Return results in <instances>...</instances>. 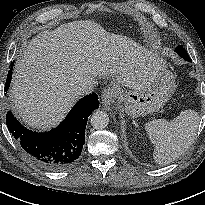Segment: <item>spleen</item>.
<instances>
[{
  "label": "spleen",
  "mask_w": 205,
  "mask_h": 205,
  "mask_svg": "<svg viewBox=\"0 0 205 205\" xmlns=\"http://www.w3.org/2000/svg\"><path fill=\"white\" fill-rule=\"evenodd\" d=\"M199 125V114L185 110L173 120L154 119L145 124L149 139L154 144L153 158L166 165L179 158L192 144Z\"/></svg>",
  "instance_id": "obj_1"
}]
</instances>
